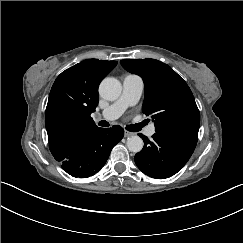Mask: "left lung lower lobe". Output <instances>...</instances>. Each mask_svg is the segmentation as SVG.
<instances>
[{
  "label": "left lung lower lobe",
  "instance_id": "left-lung-lower-lobe-1",
  "mask_svg": "<svg viewBox=\"0 0 243 243\" xmlns=\"http://www.w3.org/2000/svg\"><path fill=\"white\" fill-rule=\"evenodd\" d=\"M144 141L143 149L135 155V163L146 175L165 179L176 174L191 157L198 136L176 131H156L150 141Z\"/></svg>",
  "mask_w": 243,
  "mask_h": 243
}]
</instances>
